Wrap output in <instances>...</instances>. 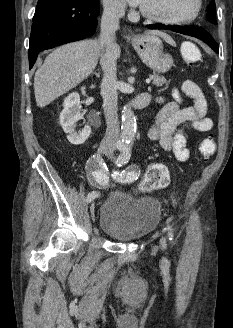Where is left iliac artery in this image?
Masks as SVG:
<instances>
[{
	"label": "left iliac artery",
	"instance_id": "obj_1",
	"mask_svg": "<svg viewBox=\"0 0 233 328\" xmlns=\"http://www.w3.org/2000/svg\"><path fill=\"white\" fill-rule=\"evenodd\" d=\"M120 151L121 154L118 156L116 160V164L118 167L125 165L129 161L131 156L129 147H122ZM112 178L120 183H131L138 178V174L136 171H124V170L121 172L113 171ZM168 230H169V239L173 240L172 228L168 226Z\"/></svg>",
	"mask_w": 233,
	"mask_h": 328
}]
</instances>
